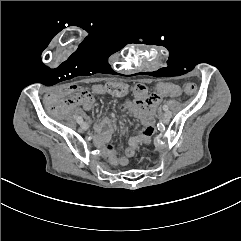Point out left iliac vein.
<instances>
[{"mask_svg":"<svg viewBox=\"0 0 241 241\" xmlns=\"http://www.w3.org/2000/svg\"><path fill=\"white\" fill-rule=\"evenodd\" d=\"M171 118V113L169 111H166L163 115H162V119L164 122L169 121Z\"/></svg>","mask_w":241,"mask_h":241,"instance_id":"1","label":"left iliac vein"}]
</instances>
